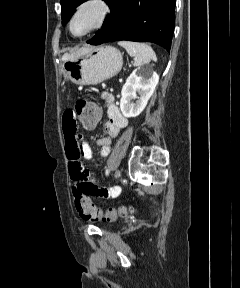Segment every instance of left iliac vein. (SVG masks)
Masks as SVG:
<instances>
[{"label":"left iliac vein","mask_w":240,"mask_h":288,"mask_svg":"<svg viewBox=\"0 0 240 288\" xmlns=\"http://www.w3.org/2000/svg\"><path fill=\"white\" fill-rule=\"evenodd\" d=\"M120 175H121L120 170H116V172H115V178H119Z\"/></svg>","instance_id":"1"}]
</instances>
